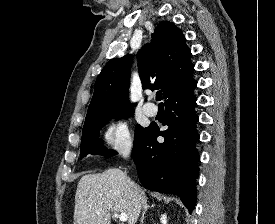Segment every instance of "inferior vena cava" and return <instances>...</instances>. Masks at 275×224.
Here are the masks:
<instances>
[{"label": "inferior vena cava", "instance_id": "602c4592", "mask_svg": "<svg viewBox=\"0 0 275 224\" xmlns=\"http://www.w3.org/2000/svg\"><path fill=\"white\" fill-rule=\"evenodd\" d=\"M127 155H128V153H127V152H125V153L123 154V156H124V157H127Z\"/></svg>", "mask_w": 275, "mask_h": 224}]
</instances>
